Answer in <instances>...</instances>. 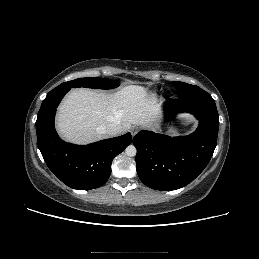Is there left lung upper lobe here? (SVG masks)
<instances>
[{
  "mask_svg": "<svg viewBox=\"0 0 259 259\" xmlns=\"http://www.w3.org/2000/svg\"><path fill=\"white\" fill-rule=\"evenodd\" d=\"M177 90L178 99H190L197 97H211L209 93L202 90L200 87L187 84L184 82H171Z\"/></svg>",
  "mask_w": 259,
  "mask_h": 259,
  "instance_id": "5c2ea615",
  "label": "left lung upper lobe"
}]
</instances>
